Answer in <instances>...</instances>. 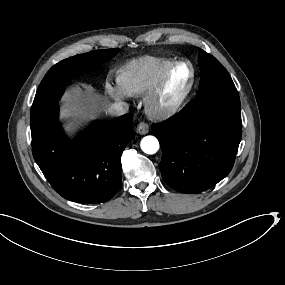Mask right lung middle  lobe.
Instances as JSON below:
<instances>
[{"label": "right lung middle lobe", "mask_w": 285, "mask_h": 285, "mask_svg": "<svg viewBox=\"0 0 285 285\" xmlns=\"http://www.w3.org/2000/svg\"><path fill=\"white\" fill-rule=\"evenodd\" d=\"M119 50V48L96 50L60 61L54 65L44 76L36 94L43 93L79 74L97 68L101 64L105 63L109 58L117 55Z\"/></svg>", "instance_id": "dd1d6c3e"}]
</instances>
